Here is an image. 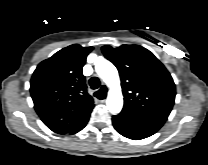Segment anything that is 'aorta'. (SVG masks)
<instances>
[{
	"label": "aorta",
	"instance_id": "aorta-1",
	"mask_svg": "<svg viewBox=\"0 0 208 165\" xmlns=\"http://www.w3.org/2000/svg\"><path fill=\"white\" fill-rule=\"evenodd\" d=\"M95 70L109 87L106 101L108 110L112 114L119 113L123 107V96L116 67L110 61L101 58L95 63Z\"/></svg>",
	"mask_w": 208,
	"mask_h": 165
}]
</instances>
